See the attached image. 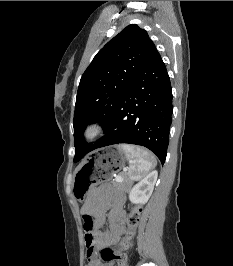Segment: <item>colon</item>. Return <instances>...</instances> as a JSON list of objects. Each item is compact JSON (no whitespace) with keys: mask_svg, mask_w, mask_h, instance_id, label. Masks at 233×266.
Segmentation results:
<instances>
[{"mask_svg":"<svg viewBox=\"0 0 233 266\" xmlns=\"http://www.w3.org/2000/svg\"><path fill=\"white\" fill-rule=\"evenodd\" d=\"M140 211L141 209L139 206H132L129 209L127 216V224L129 230L122 239L119 249L117 251H113L108 247L101 249L100 256L103 261L105 262L116 261L118 266H126L125 251L128 248L130 241L133 237L134 229L139 223ZM83 225L86 229H90L92 227V219L88 214H83Z\"/></svg>","mask_w":233,"mask_h":266,"instance_id":"5ec220e1","label":"colon"}]
</instances>
